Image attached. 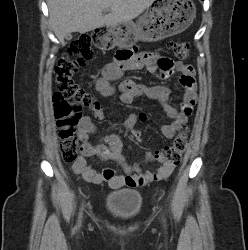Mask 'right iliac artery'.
<instances>
[{
    "label": "right iliac artery",
    "instance_id": "1",
    "mask_svg": "<svg viewBox=\"0 0 248 250\" xmlns=\"http://www.w3.org/2000/svg\"><path fill=\"white\" fill-rule=\"evenodd\" d=\"M82 210H83V207L80 209V212H79L78 222H77V225H76V229H78L81 226Z\"/></svg>",
    "mask_w": 248,
    "mask_h": 250
}]
</instances>
